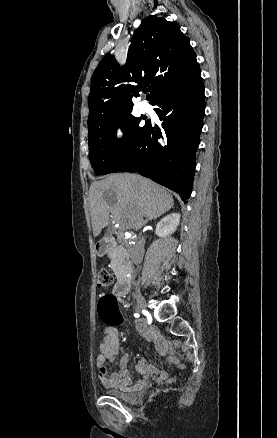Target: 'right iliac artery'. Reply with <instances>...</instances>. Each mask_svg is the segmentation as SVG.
<instances>
[{
    "label": "right iliac artery",
    "mask_w": 277,
    "mask_h": 438,
    "mask_svg": "<svg viewBox=\"0 0 277 438\" xmlns=\"http://www.w3.org/2000/svg\"><path fill=\"white\" fill-rule=\"evenodd\" d=\"M134 316H135V317H139V314H138V313H135Z\"/></svg>",
    "instance_id": "right-iliac-artery-1"
}]
</instances>
